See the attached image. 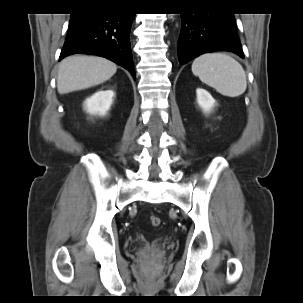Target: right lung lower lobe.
Returning <instances> with one entry per match:
<instances>
[{"label":"right lung lower lobe","instance_id":"obj_1","mask_svg":"<svg viewBox=\"0 0 303 303\" xmlns=\"http://www.w3.org/2000/svg\"><path fill=\"white\" fill-rule=\"evenodd\" d=\"M134 16L100 8L71 14L59 59L78 53L99 55L121 65L135 78L129 38Z\"/></svg>","mask_w":303,"mask_h":303}]
</instances>
